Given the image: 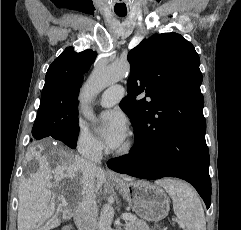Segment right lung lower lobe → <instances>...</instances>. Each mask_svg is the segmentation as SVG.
Wrapping results in <instances>:
<instances>
[{"label":"right lung lower lobe","mask_w":241,"mask_h":230,"mask_svg":"<svg viewBox=\"0 0 241 230\" xmlns=\"http://www.w3.org/2000/svg\"><path fill=\"white\" fill-rule=\"evenodd\" d=\"M76 147V144L72 146V148H75Z\"/></svg>","instance_id":"right-lung-lower-lobe-1"}]
</instances>
